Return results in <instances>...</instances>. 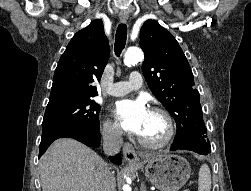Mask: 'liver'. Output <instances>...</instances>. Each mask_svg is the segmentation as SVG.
Listing matches in <instances>:
<instances>
[{
  "instance_id": "liver-1",
  "label": "liver",
  "mask_w": 251,
  "mask_h": 191,
  "mask_svg": "<svg viewBox=\"0 0 251 191\" xmlns=\"http://www.w3.org/2000/svg\"><path fill=\"white\" fill-rule=\"evenodd\" d=\"M111 167L96 151L71 139H56L39 161L42 191H102L108 185L103 175H111Z\"/></svg>"
}]
</instances>
